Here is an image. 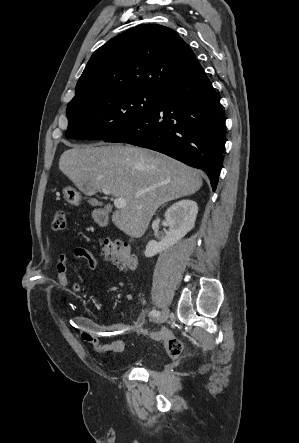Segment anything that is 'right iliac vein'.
<instances>
[{"label": "right iliac vein", "instance_id": "obj_1", "mask_svg": "<svg viewBox=\"0 0 299 443\" xmlns=\"http://www.w3.org/2000/svg\"><path fill=\"white\" fill-rule=\"evenodd\" d=\"M169 317V311L167 309H164L162 313L158 316L157 322L158 323H164Z\"/></svg>", "mask_w": 299, "mask_h": 443}]
</instances>
